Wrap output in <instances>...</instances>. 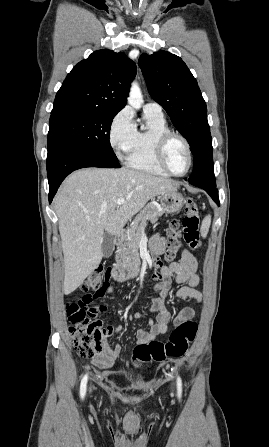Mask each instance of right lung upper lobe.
<instances>
[{
	"label": "right lung upper lobe",
	"instance_id": "obj_1",
	"mask_svg": "<svg viewBox=\"0 0 269 447\" xmlns=\"http://www.w3.org/2000/svg\"><path fill=\"white\" fill-rule=\"evenodd\" d=\"M136 65L123 52L99 50L79 62L56 94L51 114L114 112L127 103Z\"/></svg>",
	"mask_w": 269,
	"mask_h": 447
}]
</instances>
